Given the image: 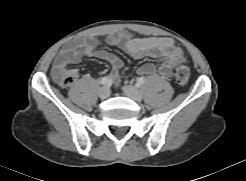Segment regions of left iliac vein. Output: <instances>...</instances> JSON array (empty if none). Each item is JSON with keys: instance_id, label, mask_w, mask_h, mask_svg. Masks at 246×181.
I'll return each mask as SVG.
<instances>
[{"instance_id": "4c4485c4", "label": "left iliac vein", "mask_w": 246, "mask_h": 181, "mask_svg": "<svg viewBox=\"0 0 246 181\" xmlns=\"http://www.w3.org/2000/svg\"><path fill=\"white\" fill-rule=\"evenodd\" d=\"M123 92L132 100L140 102L143 98L142 92L135 86L125 85L123 86Z\"/></svg>"}]
</instances>
